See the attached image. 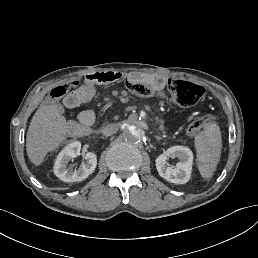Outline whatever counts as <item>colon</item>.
I'll return each instance as SVG.
<instances>
[{"mask_svg": "<svg viewBox=\"0 0 258 258\" xmlns=\"http://www.w3.org/2000/svg\"><path fill=\"white\" fill-rule=\"evenodd\" d=\"M80 86H82V82L80 80H75L69 84L55 87L50 92L49 103H54L55 101L62 99L70 89ZM127 88L133 94L143 97H151L158 93L155 85L139 80L128 81ZM167 89L171 98L178 105L184 107L195 105L203 97L205 92L203 87L195 83L174 78L167 80ZM210 120V115L195 119L188 126L187 132L190 135L198 134Z\"/></svg>", "mask_w": 258, "mask_h": 258, "instance_id": "obj_1", "label": "colon"}]
</instances>
